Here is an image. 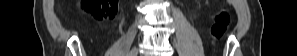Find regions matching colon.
I'll list each match as a JSON object with an SVG mask.
<instances>
[{
  "label": "colon",
  "instance_id": "5ec220e1",
  "mask_svg": "<svg viewBox=\"0 0 297 56\" xmlns=\"http://www.w3.org/2000/svg\"><path fill=\"white\" fill-rule=\"evenodd\" d=\"M81 7L91 13L97 20L112 18L115 13L116 0H83ZM230 22V15L227 11L218 13L212 27V36L219 39L225 33Z\"/></svg>",
  "mask_w": 297,
  "mask_h": 56
}]
</instances>
